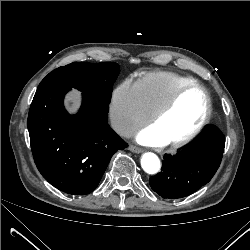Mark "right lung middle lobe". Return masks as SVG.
<instances>
[{"instance_id":"right-lung-middle-lobe-1","label":"right lung middle lobe","mask_w":250,"mask_h":250,"mask_svg":"<svg viewBox=\"0 0 250 250\" xmlns=\"http://www.w3.org/2000/svg\"><path fill=\"white\" fill-rule=\"evenodd\" d=\"M119 72V65L112 62H74L50 72L37 90L52 85H65L110 103L112 86Z\"/></svg>"}]
</instances>
